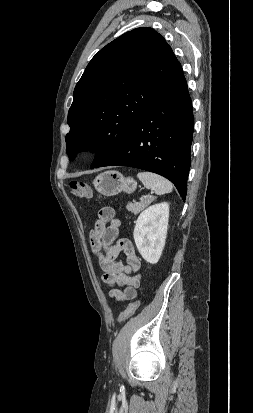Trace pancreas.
Here are the masks:
<instances>
[{
    "label": "pancreas",
    "instance_id": "1",
    "mask_svg": "<svg viewBox=\"0 0 253 413\" xmlns=\"http://www.w3.org/2000/svg\"><path fill=\"white\" fill-rule=\"evenodd\" d=\"M154 197H143L140 202H128L127 203V210L132 212L134 215L140 213L145 207H147L152 201H154Z\"/></svg>",
    "mask_w": 253,
    "mask_h": 413
}]
</instances>
